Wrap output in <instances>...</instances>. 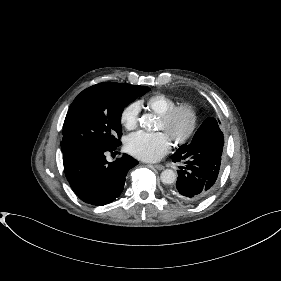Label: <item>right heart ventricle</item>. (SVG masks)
Masks as SVG:
<instances>
[{
  "label": "right heart ventricle",
  "mask_w": 281,
  "mask_h": 281,
  "mask_svg": "<svg viewBox=\"0 0 281 281\" xmlns=\"http://www.w3.org/2000/svg\"><path fill=\"white\" fill-rule=\"evenodd\" d=\"M138 103L159 116L177 105L174 98L164 93H155Z\"/></svg>",
  "instance_id": "obj_1"
}]
</instances>
